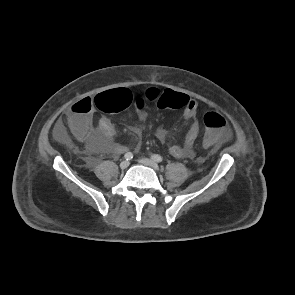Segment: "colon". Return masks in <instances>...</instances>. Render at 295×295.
Segmentation results:
<instances>
[{"label": "colon", "mask_w": 295, "mask_h": 295, "mask_svg": "<svg viewBox=\"0 0 295 295\" xmlns=\"http://www.w3.org/2000/svg\"><path fill=\"white\" fill-rule=\"evenodd\" d=\"M133 101L138 108H144L147 102L153 103L160 109H180L188 102V96L171 90H159L148 88L143 97L134 100L132 93L127 88H116L102 92L94 99L84 98L75 103L72 108L77 114L89 113L93 107L105 112H118L128 107ZM78 116L74 115L70 119L72 128H77ZM206 132L203 138V145L213 146L228 134L226 119L217 112H208L204 116Z\"/></svg>", "instance_id": "1"}]
</instances>
